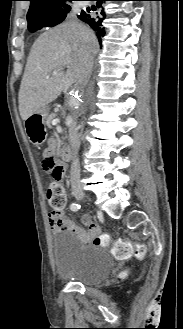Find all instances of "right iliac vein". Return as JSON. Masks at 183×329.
I'll use <instances>...</instances> for the list:
<instances>
[{
    "instance_id": "obj_1",
    "label": "right iliac vein",
    "mask_w": 183,
    "mask_h": 329,
    "mask_svg": "<svg viewBox=\"0 0 183 329\" xmlns=\"http://www.w3.org/2000/svg\"><path fill=\"white\" fill-rule=\"evenodd\" d=\"M76 197L78 199L89 198V196L82 190H80L76 193Z\"/></svg>"
}]
</instances>
